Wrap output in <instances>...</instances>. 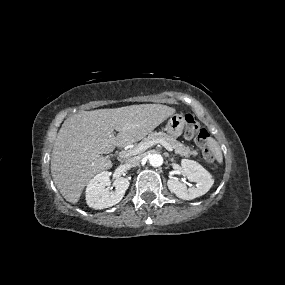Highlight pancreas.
<instances>
[{"instance_id":"1","label":"pancreas","mask_w":285,"mask_h":285,"mask_svg":"<svg viewBox=\"0 0 285 285\" xmlns=\"http://www.w3.org/2000/svg\"><path fill=\"white\" fill-rule=\"evenodd\" d=\"M156 139H162L165 142H167L174 149L175 153L180 156L189 157V156H196L198 154L196 150H193L189 146H185L184 144L177 141L174 137L164 132H156V131L151 132L146 138H144L140 142V144L147 143L149 141ZM139 145L135 146L132 150H137ZM141 152L143 151H137L136 154H140Z\"/></svg>"}]
</instances>
